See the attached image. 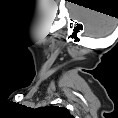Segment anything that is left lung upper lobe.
Instances as JSON below:
<instances>
[{
	"label": "left lung upper lobe",
	"instance_id": "left-lung-upper-lobe-1",
	"mask_svg": "<svg viewBox=\"0 0 118 118\" xmlns=\"http://www.w3.org/2000/svg\"><path fill=\"white\" fill-rule=\"evenodd\" d=\"M52 109H55L57 111H63V112H66L68 113V111L65 109V108H58V107H51Z\"/></svg>",
	"mask_w": 118,
	"mask_h": 118
}]
</instances>
